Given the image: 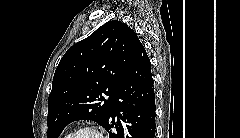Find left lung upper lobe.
<instances>
[{
    "mask_svg": "<svg viewBox=\"0 0 240 138\" xmlns=\"http://www.w3.org/2000/svg\"><path fill=\"white\" fill-rule=\"evenodd\" d=\"M141 46L127 24L109 21L70 47L53 77L47 138H57L74 120H93L103 126Z\"/></svg>",
    "mask_w": 240,
    "mask_h": 138,
    "instance_id": "left-lung-upper-lobe-1",
    "label": "left lung upper lobe"
}]
</instances>
